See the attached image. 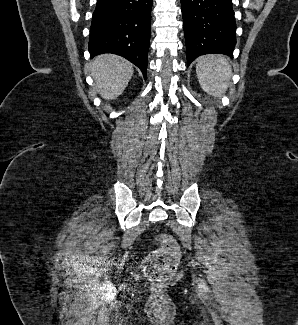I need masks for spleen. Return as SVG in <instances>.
Returning <instances> with one entry per match:
<instances>
[{"instance_id": "obj_1", "label": "spleen", "mask_w": 298, "mask_h": 325, "mask_svg": "<svg viewBox=\"0 0 298 325\" xmlns=\"http://www.w3.org/2000/svg\"><path fill=\"white\" fill-rule=\"evenodd\" d=\"M196 74L207 94L222 96L229 86L231 64L222 54H206L197 58Z\"/></svg>"}]
</instances>
